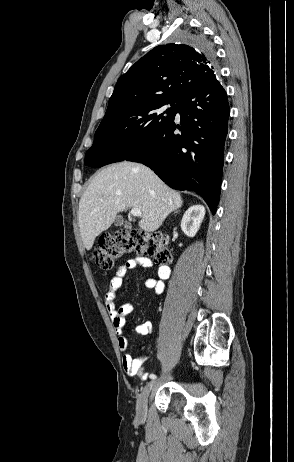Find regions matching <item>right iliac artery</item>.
<instances>
[{"label":"right iliac artery","mask_w":294,"mask_h":462,"mask_svg":"<svg viewBox=\"0 0 294 462\" xmlns=\"http://www.w3.org/2000/svg\"><path fill=\"white\" fill-rule=\"evenodd\" d=\"M149 377H150V379H152V380L156 379V375H154V374H150Z\"/></svg>","instance_id":"obj_1"}]
</instances>
